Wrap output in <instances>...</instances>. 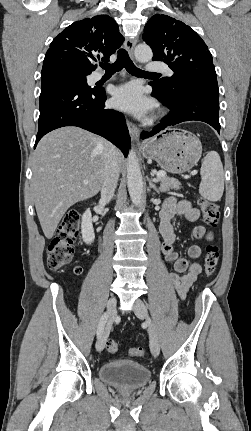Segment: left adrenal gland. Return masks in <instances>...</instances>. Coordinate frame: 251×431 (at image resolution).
<instances>
[{"label": "left adrenal gland", "instance_id": "1", "mask_svg": "<svg viewBox=\"0 0 251 431\" xmlns=\"http://www.w3.org/2000/svg\"><path fill=\"white\" fill-rule=\"evenodd\" d=\"M148 182H149V188H152L153 190H155L157 193H159V190L157 188V186L151 181L150 178H148Z\"/></svg>", "mask_w": 251, "mask_h": 431}]
</instances>
